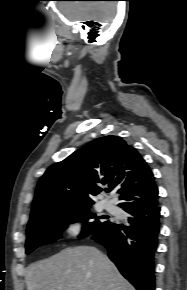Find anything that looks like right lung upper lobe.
Listing matches in <instances>:
<instances>
[{"label": "right lung upper lobe", "mask_w": 187, "mask_h": 290, "mask_svg": "<svg viewBox=\"0 0 187 290\" xmlns=\"http://www.w3.org/2000/svg\"><path fill=\"white\" fill-rule=\"evenodd\" d=\"M154 176L136 149L122 138L105 136L50 166L40 178L29 223L56 211L91 205V195L117 188L123 209L158 201Z\"/></svg>", "instance_id": "right-lung-upper-lobe-1"}]
</instances>
